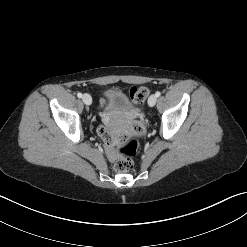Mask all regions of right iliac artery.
I'll return each mask as SVG.
<instances>
[{
  "label": "right iliac artery",
  "mask_w": 247,
  "mask_h": 247,
  "mask_svg": "<svg viewBox=\"0 0 247 247\" xmlns=\"http://www.w3.org/2000/svg\"><path fill=\"white\" fill-rule=\"evenodd\" d=\"M77 97H78V98H82V93L79 92V93L77 94Z\"/></svg>",
  "instance_id": "right-iliac-artery-1"
}]
</instances>
